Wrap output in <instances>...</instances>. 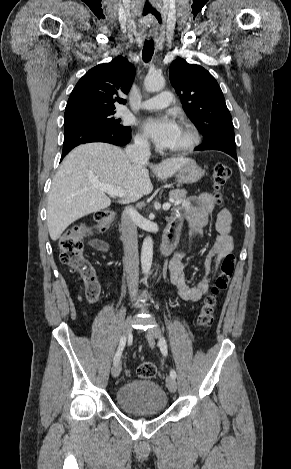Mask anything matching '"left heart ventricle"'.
Here are the masks:
<instances>
[{"label":"left heart ventricle","mask_w":291,"mask_h":469,"mask_svg":"<svg viewBox=\"0 0 291 469\" xmlns=\"http://www.w3.org/2000/svg\"><path fill=\"white\" fill-rule=\"evenodd\" d=\"M190 139L189 133L184 129L180 128L178 136L174 142V144L170 147V149H175L184 146Z\"/></svg>","instance_id":"left-heart-ventricle-1"}]
</instances>
